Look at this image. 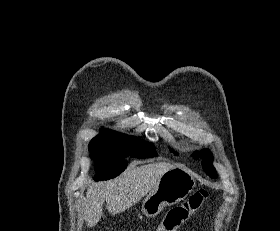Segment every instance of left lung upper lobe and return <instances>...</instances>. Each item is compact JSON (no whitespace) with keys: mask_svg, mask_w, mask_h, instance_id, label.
Here are the masks:
<instances>
[{"mask_svg":"<svg viewBox=\"0 0 280 231\" xmlns=\"http://www.w3.org/2000/svg\"><path fill=\"white\" fill-rule=\"evenodd\" d=\"M170 150L172 151V149H170ZM194 157L202 158V166H203L204 171L211 178H217L216 171H215L213 165L211 164L213 157L208 151L196 152V153H194Z\"/></svg>","mask_w":280,"mask_h":231,"instance_id":"obj_1","label":"left lung upper lobe"}]
</instances>
